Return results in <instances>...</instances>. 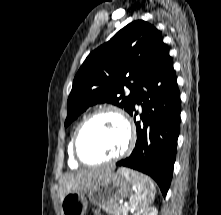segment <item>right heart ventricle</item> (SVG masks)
<instances>
[{
  "label": "right heart ventricle",
  "instance_id": "right-heart-ventricle-1",
  "mask_svg": "<svg viewBox=\"0 0 221 215\" xmlns=\"http://www.w3.org/2000/svg\"><path fill=\"white\" fill-rule=\"evenodd\" d=\"M76 130L74 131V134H75ZM73 134V136H74ZM73 139V137H72ZM72 139L69 143V146H68V154H69V164L70 166L72 167H78V162L75 160L74 156H73V152H72Z\"/></svg>",
  "mask_w": 221,
  "mask_h": 215
}]
</instances>
